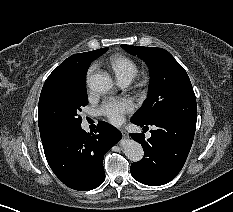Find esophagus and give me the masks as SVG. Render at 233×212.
Segmentation results:
<instances>
[{"instance_id": "1", "label": "esophagus", "mask_w": 233, "mask_h": 212, "mask_svg": "<svg viewBox=\"0 0 233 212\" xmlns=\"http://www.w3.org/2000/svg\"><path fill=\"white\" fill-rule=\"evenodd\" d=\"M121 133H122V136L124 137V138H128V133H127V131L126 130H121Z\"/></svg>"}]
</instances>
